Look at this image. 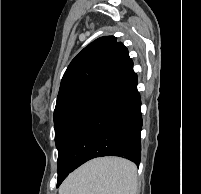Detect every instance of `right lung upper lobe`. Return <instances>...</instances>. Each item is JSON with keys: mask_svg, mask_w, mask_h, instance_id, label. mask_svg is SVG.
<instances>
[{"mask_svg": "<svg viewBox=\"0 0 201 194\" xmlns=\"http://www.w3.org/2000/svg\"><path fill=\"white\" fill-rule=\"evenodd\" d=\"M127 48L114 36H104L86 46L65 71L56 107L81 97H96L133 73Z\"/></svg>", "mask_w": 201, "mask_h": 194, "instance_id": "1", "label": "right lung upper lobe"}]
</instances>
